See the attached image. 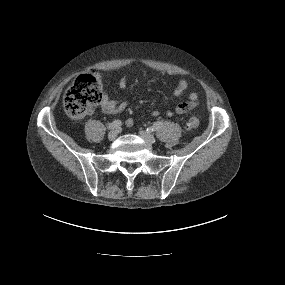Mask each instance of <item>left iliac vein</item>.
Here are the masks:
<instances>
[{
  "mask_svg": "<svg viewBox=\"0 0 285 285\" xmlns=\"http://www.w3.org/2000/svg\"><path fill=\"white\" fill-rule=\"evenodd\" d=\"M139 135L145 139L146 141H148L149 143H154L155 142V137L154 135L150 134L149 132L146 131H140Z\"/></svg>",
  "mask_w": 285,
  "mask_h": 285,
  "instance_id": "1",
  "label": "left iliac vein"
}]
</instances>
